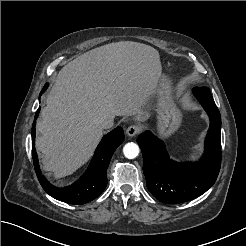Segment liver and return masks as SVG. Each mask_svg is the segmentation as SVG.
<instances>
[{
  "mask_svg": "<svg viewBox=\"0 0 246 246\" xmlns=\"http://www.w3.org/2000/svg\"><path fill=\"white\" fill-rule=\"evenodd\" d=\"M161 62L146 44L120 41L94 48L65 65L41 111L36 148L42 168L55 178L71 175L92 156L107 116L142 121L158 93Z\"/></svg>",
  "mask_w": 246,
  "mask_h": 246,
  "instance_id": "obj_1",
  "label": "liver"
}]
</instances>
